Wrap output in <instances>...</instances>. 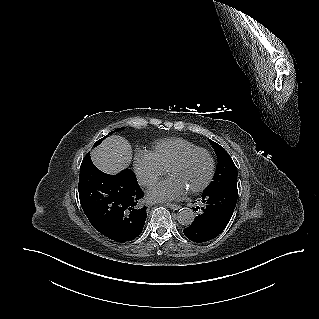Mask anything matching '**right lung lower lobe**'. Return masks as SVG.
I'll list each match as a JSON object with an SVG mask.
<instances>
[{"label":"right lung lower lobe","instance_id":"obj_1","mask_svg":"<svg viewBox=\"0 0 319 319\" xmlns=\"http://www.w3.org/2000/svg\"><path fill=\"white\" fill-rule=\"evenodd\" d=\"M78 189L84 213L104 236L123 243L142 232L147 217L146 206L141 205L144 193L132 170L117 175L103 173L87 153L80 167Z\"/></svg>","mask_w":319,"mask_h":319}]
</instances>
